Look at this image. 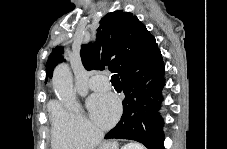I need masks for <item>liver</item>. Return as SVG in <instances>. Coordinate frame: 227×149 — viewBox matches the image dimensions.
I'll use <instances>...</instances> for the list:
<instances>
[{
  "instance_id": "obj_1",
  "label": "liver",
  "mask_w": 227,
  "mask_h": 149,
  "mask_svg": "<svg viewBox=\"0 0 227 149\" xmlns=\"http://www.w3.org/2000/svg\"><path fill=\"white\" fill-rule=\"evenodd\" d=\"M118 143L116 141H111L104 143L102 146H100L99 149H118ZM139 149H145L144 146L138 145Z\"/></svg>"
}]
</instances>
